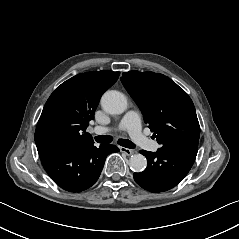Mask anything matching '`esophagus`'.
Wrapping results in <instances>:
<instances>
[{
	"mask_svg": "<svg viewBox=\"0 0 239 239\" xmlns=\"http://www.w3.org/2000/svg\"><path fill=\"white\" fill-rule=\"evenodd\" d=\"M120 151L125 153L128 156H131V155H133L135 153L134 150H131V149L125 148V147H120Z\"/></svg>",
	"mask_w": 239,
	"mask_h": 239,
	"instance_id": "34e87169",
	"label": "esophagus"
}]
</instances>
